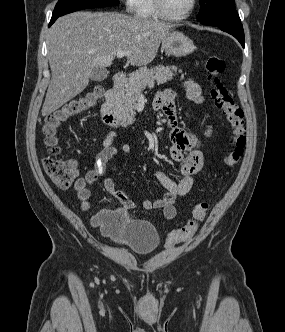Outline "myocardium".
Instances as JSON below:
<instances>
[{
  "label": "myocardium",
  "mask_w": 285,
  "mask_h": 332,
  "mask_svg": "<svg viewBox=\"0 0 285 332\" xmlns=\"http://www.w3.org/2000/svg\"><path fill=\"white\" fill-rule=\"evenodd\" d=\"M154 2H155L156 11L159 14V16L165 20L173 22L187 19L193 13V11L197 6V0H191V5L184 14L179 16H173L167 11L165 0H154Z\"/></svg>",
  "instance_id": "obj_1"
}]
</instances>
